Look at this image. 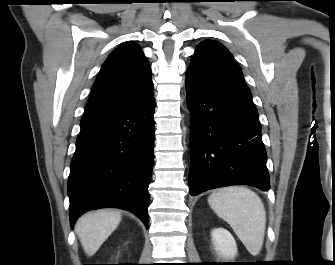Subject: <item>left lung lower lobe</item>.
I'll return each mask as SVG.
<instances>
[{"instance_id": "1", "label": "left lung lower lobe", "mask_w": 335, "mask_h": 265, "mask_svg": "<svg viewBox=\"0 0 335 265\" xmlns=\"http://www.w3.org/2000/svg\"><path fill=\"white\" fill-rule=\"evenodd\" d=\"M185 84L192 112L190 194L241 184L268 191L266 150L251 97L189 69Z\"/></svg>"}]
</instances>
